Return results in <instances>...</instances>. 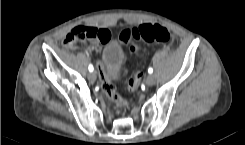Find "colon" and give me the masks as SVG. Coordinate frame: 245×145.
Wrapping results in <instances>:
<instances>
[{
    "label": "colon",
    "mask_w": 245,
    "mask_h": 145,
    "mask_svg": "<svg viewBox=\"0 0 245 145\" xmlns=\"http://www.w3.org/2000/svg\"><path fill=\"white\" fill-rule=\"evenodd\" d=\"M101 32L92 27L76 26L72 28L64 39V44L69 45L78 41H94ZM172 38L170 30L159 24L145 23L139 27L125 29L119 35V42L125 50H129L135 55H140L142 48L140 42L147 43H163L167 44ZM128 60L127 53L125 54L124 63ZM124 73V69H123ZM143 73L140 69L136 71L133 77L127 78L125 84L130 91H135L142 79ZM103 90L111 99L119 112H125L129 108V102L121 98L115 88L111 84L107 76L103 77Z\"/></svg>",
    "instance_id": "obj_1"
}]
</instances>
